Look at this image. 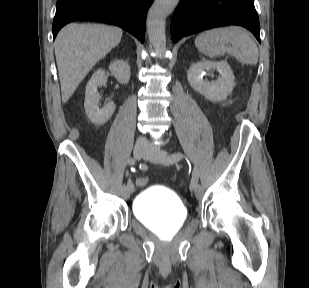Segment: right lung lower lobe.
<instances>
[{"label":"right lung lower lobe","mask_w":309,"mask_h":288,"mask_svg":"<svg viewBox=\"0 0 309 288\" xmlns=\"http://www.w3.org/2000/svg\"><path fill=\"white\" fill-rule=\"evenodd\" d=\"M153 0H58L52 32L76 20H94L115 24L136 36L145 38V20Z\"/></svg>","instance_id":"98d812e1"}]
</instances>
